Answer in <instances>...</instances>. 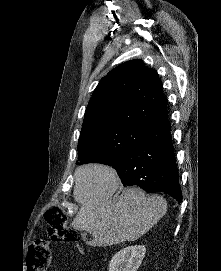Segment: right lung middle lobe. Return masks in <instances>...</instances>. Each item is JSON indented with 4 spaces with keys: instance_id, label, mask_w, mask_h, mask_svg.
<instances>
[{
    "instance_id": "right-lung-middle-lobe-1",
    "label": "right lung middle lobe",
    "mask_w": 221,
    "mask_h": 271,
    "mask_svg": "<svg viewBox=\"0 0 221 271\" xmlns=\"http://www.w3.org/2000/svg\"><path fill=\"white\" fill-rule=\"evenodd\" d=\"M146 130L131 126H109L80 136L77 165H112L123 158L142 139Z\"/></svg>"
}]
</instances>
